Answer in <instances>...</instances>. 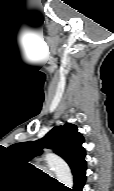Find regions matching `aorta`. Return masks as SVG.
<instances>
[{"label": "aorta", "instance_id": "aorta-1", "mask_svg": "<svg viewBox=\"0 0 114 191\" xmlns=\"http://www.w3.org/2000/svg\"><path fill=\"white\" fill-rule=\"evenodd\" d=\"M45 161L48 166L55 172L58 182L68 188L73 187V177L68 164L59 156L48 153L45 155Z\"/></svg>", "mask_w": 114, "mask_h": 191}]
</instances>
